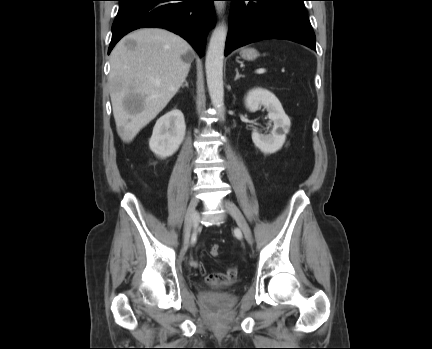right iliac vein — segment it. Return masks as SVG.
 <instances>
[{
	"instance_id": "1",
	"label": "right iliac vein",
	"mask_w": 432,
	"mask_h": 349,
	"mask_svg": "<svg viewBox=\"0 0 432 349\" xmlns=\"http://www.w3.org/2000/svg\"><path fill=\"white\" fill-rule=\"evenodd\" d=\"M198 205V198L193 196L189 202L187 212L185 215L184 222V239L188 240L190 237L192 227H196L198 225V214L196 211Z\"/></svg>"
}]
</instances>
